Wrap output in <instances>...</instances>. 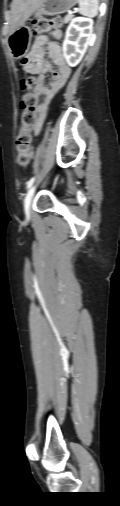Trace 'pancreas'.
<instances>
[{
    "mask_svg": "<svg viewBox=\"0 0 120 506\" xmlns=\"http://www.w3.org/2000/svg\"><path fill=\"white\" fill-rule=\"evenodd\" d=\"M71 20H72V15H71V14L66 15V16L64 17V23H68V22H70Z\"/></svg>",
    "mask_w": 120,
    "mask_h": 506,
    "instance_id": "obj_1",
    "label": "pancreas"
}]
</instances>
